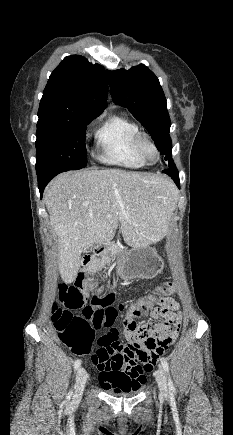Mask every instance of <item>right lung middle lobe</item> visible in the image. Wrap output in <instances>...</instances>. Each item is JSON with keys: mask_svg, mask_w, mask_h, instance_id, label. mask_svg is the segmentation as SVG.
Here are the masks:
<instances>
[{"mask_svg": "<svg viewBox=\"0 0 233 435\" xmlns=\"http://www.w3.org/2000/svg\"><path fill=\"white\" fill-rule=\"evenodd\" d=\"M95 117L39 118L35 143L37 173L55 168L68 171L85 167L86 126Z\"/></svg>", "mask_w": 233, "mask_h": 435, "instance_id": "dd1d6c3e", "label": "right lung middle lobe"}]
</instances>
